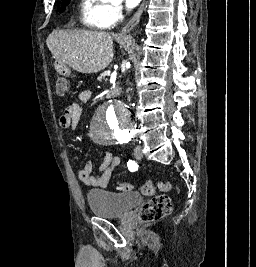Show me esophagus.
<instances>
[{
  "label": "esophagus",
  "instance_id": "1",
  "mask_svg": "<svg viewBox=\"0 0 256 267\" xmlns=\"http://www.w3.org/2000/svg\"><path fill=\"white\" fill-rule=\"evenodd\" d=\"M144 1L145 0H143L142 4L138 8L137 12L133 15L131 20H129V22L126 23V25H124V27H122L119 35H126L127 33H130L131 30L138 24L140 16H141L143 8H144Z\"/></svg>",
  "mask_w": 256,
  "mask_h": 267
}]
</instances>
